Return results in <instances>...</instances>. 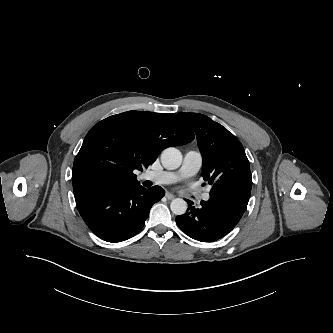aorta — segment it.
Returning <instances> with one entry per match:
<instances>
[{
    "instance_id": "aorta-1",
    "label": "aorta",
    "mask_w": 333,
    "mask_h": 333,
    "mask_svg": "<svg viewBox=\"0 0 333 333\" xmlns=\"http://www.w3.org/2000/svg\"><path fill=\"white\" fill-rule=\"evenodd\" d=\"M161 163L168 170L177 169L182 163V154L174 147L166 148L161 154ZM170 209L175 215H182L187 210V203L181 198L173 199Z\"/></svg>"
}]
</instances>
